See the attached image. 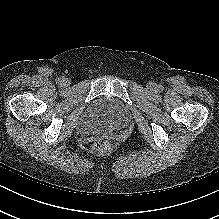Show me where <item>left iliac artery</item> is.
Returning a JSON list of instances; mask_svg holds the SVG:
<instances>
[{
	"instance_id": "left-iliac-artery-1",
	"label": "left iliac artery",
	"mask_w": 219,
	"mask_h": 219,
	"mask_svg": "<svg viewBox=\"0 0 219 219\" xmlns=\"http://www.w3.org/2000/svg\"><path fill=\"white\" fill-rule=\"evenodd\" d=\"M158 90H159V91H162V90H163V87H162L161 85H159V86H158Z\"/></svg>"
}]
</instances>
